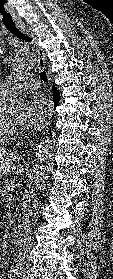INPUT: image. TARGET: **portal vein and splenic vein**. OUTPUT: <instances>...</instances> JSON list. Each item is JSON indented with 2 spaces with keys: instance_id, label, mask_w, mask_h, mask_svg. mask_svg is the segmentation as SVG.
Here are the masks:
<instances>
[{
  "instance_id": "1",
  "label": "portal vein and splenic vein",
  "mask_w": 113,
  "mask_h": 279,
  "mask_svg": "<svg viewBox=\"0 0 113 279\" xmlns=\"http://www.w3.org/2000/svg\"><path fill=\"white\" fill-rule=\"evenodd\" d=\"M12 197H13V196H12V194H9V200H11V199H12Z\"/></svg>"
}]
</instances>
